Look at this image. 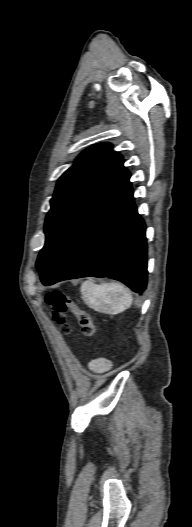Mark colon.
Here are the masks:
<instances>
[{"label": "colon", "instance_id": "1", "mask_svg": "<svg viewBox=\"0 0 192 527\" xmlns=\"http://www.w3.org/2000/svg\"><path fill=\"white\" fill-rule=\"evenodd\" d=\"M46 303L51 307L53 318L61 326V330L64 333L70 332L69 325L65 320L67 311H72L76 315L83 335L92 337L96 333V325L91 315L87 311L76 307L71 299L61 291L54 290L49 292L46 295Z\"/></svg>", "mask_w": 192, "mask_h": 527}]
</instances>
